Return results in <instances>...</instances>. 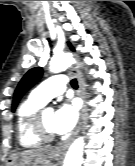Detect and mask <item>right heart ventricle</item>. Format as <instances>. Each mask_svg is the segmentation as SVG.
<instances>
[{"label": "right heart ventricle", "mask_w": 135, "mask_h": 166, "mask_svg": "<svg viewBox=\"0 0 135 166\" xmlns=\"http://www.w3.org/2000/svg\"><path fill=\"white\" fill-rule=\"evenodd\" d=\"M44 102L40 101L32 94L23 100L16 111V136L23 148L31 149L42 145V141L37 138L31 128L30 119L35 112L43 108Z\"/></svg>", "instance_id": "obj_1"}]
</instances>
